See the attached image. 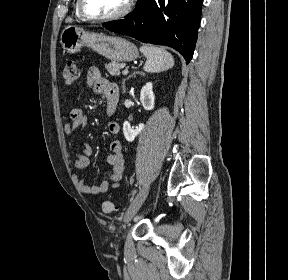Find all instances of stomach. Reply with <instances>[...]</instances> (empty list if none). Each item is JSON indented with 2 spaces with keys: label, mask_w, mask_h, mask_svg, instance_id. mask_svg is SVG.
Masks as SVG:
<instances>
[{
  "label": "stomach",
  "mask_w": 288,
  "mask_h": 280,
  "mask_svg": "<svg viewBox=\"0 0 288 280\" xmlns=\"http://www.w3.org/2000/svg\"><path fill=\"white\" fill-rule=\"evenodd\" d=\"M60 43L67 53H77L86 46L116 63L132 61L139 56L138 48L122 37L88 32L75 25L63 29Z\"/></svg>",
  "instance_id": "stomach-1"
}]
</instances>
